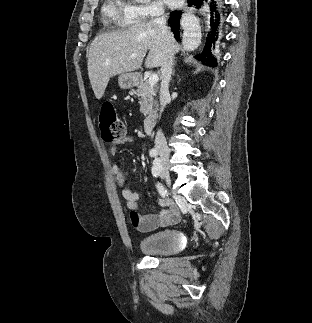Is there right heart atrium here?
Masks as SVG:
<instances>
[{
  "label": "right heart atrium",
  "instance_id": "right-heart-atrium-1",
  "mask_svg": "<svg viewBox=\"0 0 312 323\" xmlns=\"http://www.w3.org/2000/svg\"><path fill=\"white\" fill-rule=\"evenodd\" d=\"M165 7L159 2H136L120 11L121 17H128V22H151L152 17H162Z\"/></svg>",
  "mask_w": 312,
  "mask_h": 323
}]
</instances>
